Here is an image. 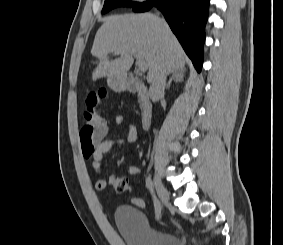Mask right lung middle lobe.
Returning a JSON list of instances; mask_svg holds the SVG:
<instances>
[{"label":"right lung middle lobe","mask_w":283,"mask_h":245,"mask_svg":"<svg viewBox=\"0 0 283 245\" xmlns=\"http://www.w3.org/2000/svg\"><path fill=\"white\" fill-rule=\"evenodd\" d=\"M136 2H131L128 0H105L104 7L102 9V13H106L110 11L111 9H114L116 7L126 6V7H134Z\"/></svg>","instance_id":"obj_1"}]
</instances>
